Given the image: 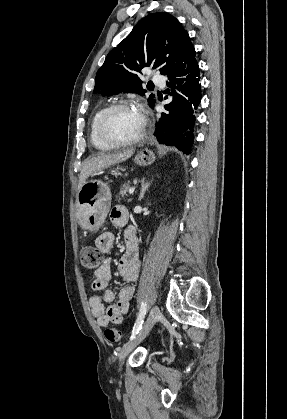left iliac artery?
<instances>
[{
	"mask_svg": "<svg viewBox=\"0 0 287 419\" xmlns=\"http://www.w3.org/2000/svg\"><path fill=\"white\" fill-rule=\"evenodd\" d=\"M145 315H146V303L142 302L141 307H140V311H139V314H138V318H137L136 323L134 325V328H133V331H132V336H131L130 339H132L141 330L143 319H144Z\"/></svg>",
	"mask_w": 287,
	"mask_h": 419,
	"instance_id": "1",
	"label": "left iliac artery"
}]
</instances>
